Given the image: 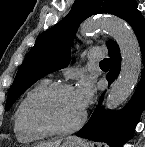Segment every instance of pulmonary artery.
<instances>
[{"mask_svg":"<svg viewBox=\"0 0 145 147\" xmlns=\"http://www.w3.org/2000/svg\"><path fill=\"white\" fill-rule=\"evenodd\" d=\"M105 57V52L100 48H93L88 52L90 61H97Z\"/></svg>","mask_w":145,"mask_h":147,"instance_id":"pulmonary-artery-1","label":"pulmonary artery"}]
</instances>
